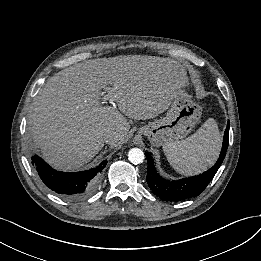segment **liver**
Returning a JSON list of instances; mask_svg holds the SVG:
<instances>
[{"label": "liver", "mask_w": 261, "mask_h": 261, "mask_svg": "<svg viewBox=\"0 0 261 261\" xmlns=\"http://www.w3.org/2000/svg\"><path fill=\"white\" fill-rule=\"evenodd\" d=\"M186 83L184 68L171 58L124 55L86 60L47 80L33 101L28 130L50 165L78 169L103 148L106 130L117 136L108 144L122 145L130 129L126 117H157ZM115 87L118 109L101 105L102 90Z\"/></svg>", "instance_id": "6515ba94"}]
</instances>
